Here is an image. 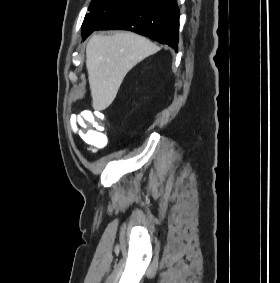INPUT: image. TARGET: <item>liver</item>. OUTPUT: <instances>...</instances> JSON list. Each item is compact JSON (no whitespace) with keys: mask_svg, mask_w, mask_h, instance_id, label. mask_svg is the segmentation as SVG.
<instances>
[{"mask_svg":"<svg viewBox=\"0 0 280 283\" xmlns=\"http://www.w3.org/2000/svg\"><path fill=\"white\" fill-rule=\"evenodd\" d=\"M158 50L154 43L131 32L92 36L86 47V68L94 110L109 107L128 71Z\"/></svg>","mask_w":280,"mask_h":283,"instance_id":"liver-1","label":"liver"}]
</instances>
